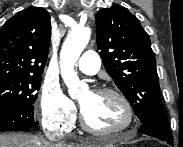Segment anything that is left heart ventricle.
Segmentation results:
<instances>
[{"label":"left heart ventricle","instance_id":"1","mask_svg":"<svg viewBox=\"0 0 183 147\" xmlns=\"http://www.w3.org/2000/svg\"><path fill=\"white\" fill-rule=\"evenodd\" d=\"M80 103L88 123L96 129L120 128L125 125L127 114L124 106L114 96L85 92Z\"/></svg>","mask_w":183,"mask_h":147}]
</instances>
